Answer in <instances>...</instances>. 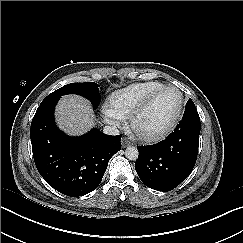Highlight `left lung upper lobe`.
<instances>
[{"instance_id": "left-lung-upper-lobe-1", "label": "left lung upper lobe", "mask_w": 243, "mask_h": 243, "mask_svg": "<svg viewBox=\"0 0 243 243\" xmlns=\"http://www.w3.org/2000/svg\"><path fill=\"white\" fill-rule=\"evenodd\" d=\"M189 112H197V109L191 99H189L188 102L186 103V110L184 114Z\"/></svg>"}]
</instances>
